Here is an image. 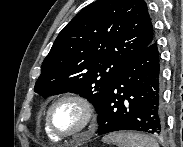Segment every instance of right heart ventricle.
I'll use <instances>...</instances> for the list:
<instances>
[{
  "label": "right heart ventricle",
  "instance_id": "e07e8e85",
  "mask_svg": "<svg viewBox=\"0 0 183 147\" xmlns=\"http://www.w3.org/2000/svg\"><path fill=\"white\" fill-rule=\"evenodd\" d=\"M45 132H46L47 136H48L51 140H53V141H57V140H58V138H56L55 136H53V135L50 133V131L48 130L46 124H45Z\"/></svg>",
  "mask_w": 183,
  "mask_h": 147
}]
</instances>
